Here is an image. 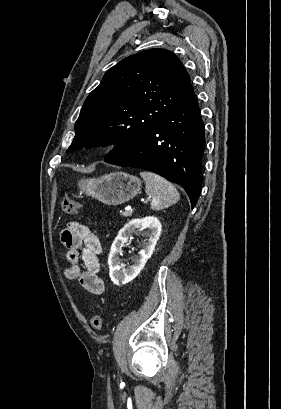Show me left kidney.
<instances>
[{
    "mask_svg": "<svg viewBox=\"0 0 281 409\" xmlns=\"http://www.w3.org/2000/svg\"><path fill=\"white\" fill-rule=\"evenodd\" d=\"M136 229H148L146 235H148L149 239L147 243L144 245V249L139 251L137 259H135V263L133 267H128V269H121L120 267V259L119 253L124 247V243H127L128 237H130L131 233H135ZM162 225L159 219L156 217H144V219H132L129 221L121 231H119L115 241H113L108 257V265H109V275L111 281H113L114 285H126V283H130L133 281L137 275H139L140 271H142L143 267H145L148 259H150L151 255H153V251L155 249V245L161 235Z\"/></svg>",
    "mask_w": 281,
    "mask_h": 409,
    "instance_id": "left-kidney-1",
    "label": "left kidney"
}]
</instances>
